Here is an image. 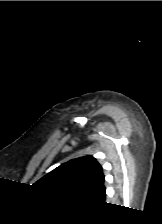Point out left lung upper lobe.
Masks as SVG:
<instances>
[{
  "mask_svg": "<svg viewBox=\"0 0 162 224\" xmlns=\"http://www.w3.org/2000/svg\"><path fill=\"white\" fill-rule=\"evenodd\" d=\"M103 184L102 167L92 156L63 163L35 183L42 190L79 199H90Z\"/></svg>",
  "mask_w": 162,
  "mask_h": 224,
  "instance_id": "obj_1",
  "label": "left lung upper lobe"
}]
</instances>
